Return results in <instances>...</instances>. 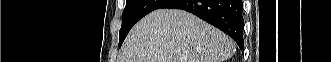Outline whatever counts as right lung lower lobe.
<instances>
[{"instance_id":"1","label":"right lung lower lobe","mask_w":331,"mask_h":62,"mask_svg":"<svg viewBox=\"0 0 331 62\" xmlns=\"http://www.w3.org/2000/svg\"><path fill=\"white\" fill-rule=\"evenodd\" d=\"M163 8L182 9L195 14L228 34L244 50L242 0H172Z\"/></svg>"}]
</instances>
